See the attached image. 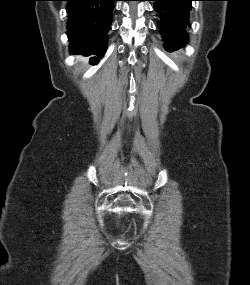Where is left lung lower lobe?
Here are the masks:
<instances>
[{
    "instance_id": "1",
    "label": "left lung lower lobe",
    "mask_w": 250,
    "mask_h": 285,
    "mask_svg": "<svg viewBox=\"0 0 250 285\" xmlns=\"http://www.w3.org/2000/svg\"><path fill=\"white\" fill-rule=\"evenodd\" d=\"M158 12L161 31L168 50H176L188 40L186 29L189 27L191 2L195 0H151Z\"/></svg>"
}]
</instances>
